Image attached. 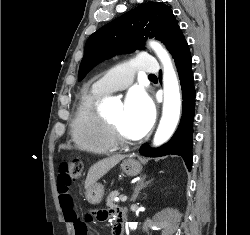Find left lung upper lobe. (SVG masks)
<instances>
[{"label":"left lung upper lobe","instance_id":"1","mask_svg":"<svg viewBox=\"0 0 250 235\" xmlns=\"http://www.w3.org/2000/svg\"><path fill=\"white\" fill-rule=\"evenodd\" d=\"M179 31L178 21L169 6L157 2L142 4L88 38L78 80L104 59L143 48L147 37H155L170 50Z\"/></svg>","mask_w":250,"mask_h":235}]
</instances>
